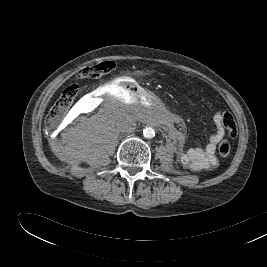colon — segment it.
Instances as JSON below:
<instances>
[{
	"instance_id": "obj_1",
	"label": "colon",
	"mask_w": 267,
	"mask_h": 267,
	"mask_svg": "<svg viewBox=\"0 0 267 267\" xmlns=\"http://www.w3.org/2000/svg\"><path fill=\"white\" fill-rule=\"evenodd\" d=\"M113 67L110 62H101L95 65L86 66L79 70L78 77L81 79H93L102 76L109 72ZM78 94V87L76 85L68 86L63 90L58 100L51 107L47 114L46 122L49 127L56 126L65 116L69 108L72 106ZM224 125L228 131L229 136L236 135V123L230 113L224 114ZM231 151V144L227 140L220 142L218 152L220 156H228Z\"/></svg>"
}]
</instances>
